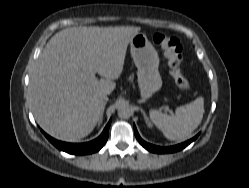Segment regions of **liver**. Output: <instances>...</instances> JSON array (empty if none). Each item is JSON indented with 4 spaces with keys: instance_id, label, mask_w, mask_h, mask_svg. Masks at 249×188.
Returning <instances> with one entry per match:
<instances>
[{
    "instance_id": "6515ba94",
    "label": "liver",
    "mask_w": 249,
    "mask_h": 188,
    "mask_svg": "<svg viewBox=\"0 0 249 188\" xmlns=\"http://www.w3.org/2000/svg\"><path fill=\"white\" fill-rule=\"evenodd\" d=\"M140 27H71L46 44L30 82L38 125L62 141H78L95 128L122 70L127 46ZM98 73L105 79L98 80Z\"/></svg>"
}]
</instances>
